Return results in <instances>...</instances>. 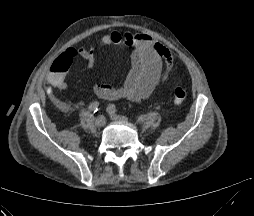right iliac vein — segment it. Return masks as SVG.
Returning <instances> with one entry per match:
<instances>
[{"label": "right iliac vein", "mask_w": 254, "mask_h": 216, "mask_svg": "<svg viewBox=\"0 0 254 216\" xmlns=\"http://www.w3.org/2000/svg\"><path fill=\"white\" fill-rule=\"evenodd\" d=\"M106 124V118L103 115H99L95 120V125L97 127H103Z\"/></svg>", "instance_id": "obj_1"}]
</instances>
